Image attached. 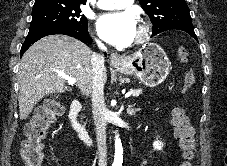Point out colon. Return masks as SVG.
Returning a JSON list of instances; mask_svg holds the SVG:
<instances>
[{"mask_svg":"<svg viewBox=\"0 0 227 166\" xmlns=\"http://www.w3.org/2000/svg\"><path fill=\"white\" fill-rule=\"evenodd\" d=\"M177 61L188 63L189 54L186 48L179 47ZM194 74L189 71L183 78V89L187 90L194 83ZM63 112L62 101L58 97H50L40 105L31 121L25 127V139L22 142L21 161L24 166H41L44 159V141L51 125ZM172 125L184 158L183 166H190L194 157V132L185 110L175 107L172 111Z\"/></svg>","mask_w":227,"mask_h":166,"instance_id":"5ec220e1","label":"colon"}]
</instances>
